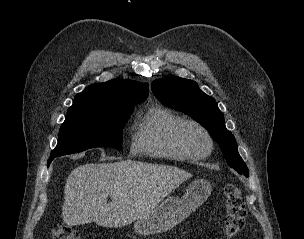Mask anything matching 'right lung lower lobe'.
Listing matches in <instances>:
<instances>
[{"instance_id":"1","label":"right lung lower lobe","mask_w":304,"mask_h":239,"mask_svg":"<svg viewBox=\"0 0 304 239\" xmlns=\"http://www.w3.org/2000/svg\"><path fill=\"white\" fill-rule=\"evenodd\" d=\"M55 157H50L49 160H48V166L50 164V162L54 159Z\"/></svg>"}]
</instances>
